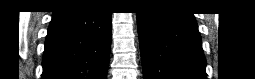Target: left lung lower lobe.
<instances>
[{
	"label": "left lung lower lobe",
	"instance_id": "0a47b994",
	"mask_svg": "<svg viewBox=\"0 0 255 79\" xmlns=\"http://www.w3.org/2000/svg\"><path fill=\"white\" fill-rule=\"evenodd\" d=\"M144 79H206V61L193 14L169 6L137 13Z\"/></svg>",
	"mask_w": 255,
	"mask_h": 79
}]
</instances>
